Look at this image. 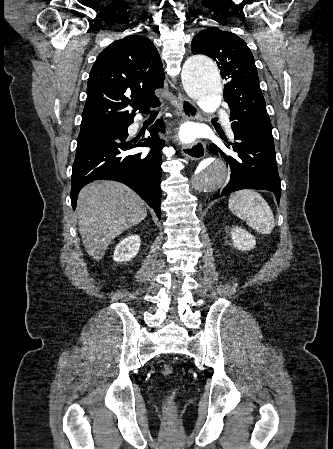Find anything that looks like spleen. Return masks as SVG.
I'll use <instances>...</instances> for the list:
<instances>
[{
	"label": "spleen",
	"instance_id": "3e777b00",
	"mask_svg": "<svg viewBox=\"0 0 333 449\" xmlns=\"http://www.w3.org/2000/svg\"><path fill=\"white\" fill-rule=\"evenodd\" d=\"M229 209L257 232L268 234L274 226V215L266 200L256 191L243 189L232 194Z\"/></svg>",
	"mask_w": 333,
	"mask_h": 449
}]
</instances>
